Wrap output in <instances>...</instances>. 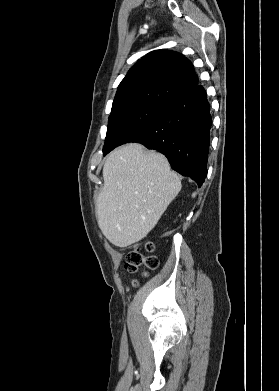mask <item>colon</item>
I'll return each instance as SVG.
<instances>
[{
  "mask_svg": "<svg viewBox=\"0 0 279 391\" xmlns=\"http://www.w3.org/2000/svg\"><path fill=\"white\" fill-rule=\"evenodd\" d=\"M146 251L151 252L154 249L153 244L148 243L145 247ZM158 259L154 256H146L140 249L133 248L125 258V269L128 272H137L142 267L155 269L158 266Z\"/></svg>",
  "mask_w": 279,
  "mask_h": 391,
  "instance_id": "colon-1",
  "label": "colon"
}]
</instances>
